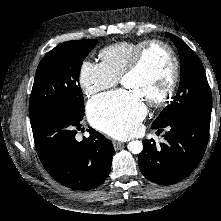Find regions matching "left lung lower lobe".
Instances as JSON below:
<instances>
[{
    "label": "left lung lower lobe",
    "instance_id": "obj_1",
    "mask_svg": "<svg viewBox=\"0 0 221 221\" xmlns=\"http://www.w3.org/2000/svg\"><path fill=\"white\" fill-rule=\"evenodd\" d=\"M210 116L191 113L170 121L160 127L152 124L159 132L167 127L165 142L144 140V149L139 154L142 174L158 184H174L186 178L202 159L209 136Z\"/></svg>",
    "mask_w": 221,
    "mask_h": 221
}]
</instances>
